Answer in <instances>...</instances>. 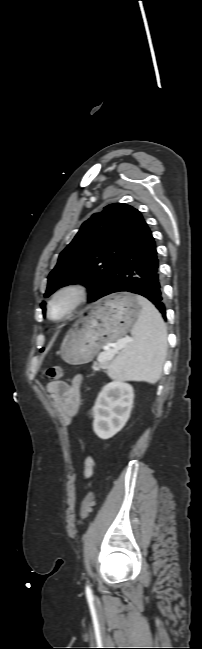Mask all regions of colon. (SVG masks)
Here are the masks:
<instances>
[{
  "instance_id": "5ec220e1",
  "label": "colon",
  "mask_w": 202,
  "mask_h": 649,
  "mask_svg": "<svg viewBox=\"0 0 202 649\" xmlns=\"http://www.w3.org/2000/svg\"><path fill=\"white\" fill-rule=\"evenodd\" d=\"M63 373H64L63 368L61 366L52 365L46 369L45 376L49 381L53 382L62 378ZM94 503H95V494L94 492H89L84 498L81 505L80 515H79L80 524H82L85 521V519L89 516Z\"/></svg>"
}]
</instances>
